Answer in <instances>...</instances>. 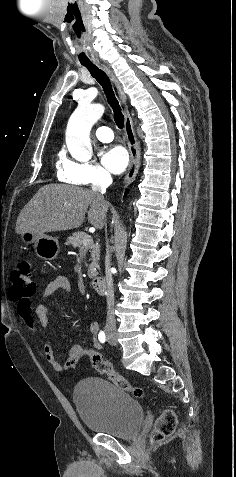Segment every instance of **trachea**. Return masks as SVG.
<instances>
[{"label": "trachea", "mask_w": 236, "mask_h": 477, "mask_svg": "<svg viewBox=\"0 0 236 477\" xmlns=\"http://www.w3.org/2000/svg\"><path fill=\"white\" fill-rule=\"evenodd\" d=\"M87 70L90 72L93 78L97 80V82L102 86L105 95L107 97V101L114 112V121L118 128L122 129L124 127V116L121 112V107L115 97V94L112 89V85L106 74L98 69L92 63H81Z\"/></svg>", "instance_id": "1"}]
</instances>
